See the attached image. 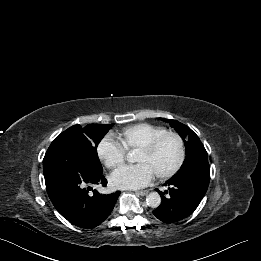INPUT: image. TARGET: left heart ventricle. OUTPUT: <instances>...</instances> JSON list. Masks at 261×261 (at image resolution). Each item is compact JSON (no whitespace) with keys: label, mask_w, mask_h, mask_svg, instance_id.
<instances>
[{"label":"left heart ventricle","mask_w":261,"mask_h":261,"mask_svg":"<svg viewBox=\"0 0 261 261\" xmlns=\"http://www.w3.org/2000/svg\"><path fill=\"white\" fill-rule=\"evenodd\" d=\"M178 142L174 137L164 138L155 151L143 153L137 151L135 161L146 164L156 175L170 169L177 160Z\"/></svg>","instance_id":"left-heart-ventricle-1"}]
</instances>
